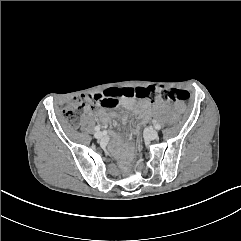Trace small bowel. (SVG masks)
Returning a JSON list of instances; mask_svg holds the SVG:
<instances>
[{
    "mask_svg": "<svg viewBox=\"0 0 241 241\" xmlns=\"http://www.w3.org/2000/svg\"><path fill=\"white\" fill-rule=\"evenodd\" d=\"M118 103H119V100L113 106H102V105H100V106H102V108L97 110L98 117L104 122L107 121L111 117V115L105 110V108L115 107ZM122 103L128 109L136 111V112H140V113H143V114H145L146 110L148 109V107L151 104L150 101L143 100V101L137 102L133 98H124L122 100ZM91 108L92 107L88 108L89 111H91ZM177 108L179 110H182L181 105H178Z\"/></svg>",
    "mask_w": 241,
    "mask_h": 241,
    "instance_id": "small-bowel-1",
    "label": "small bowel"
}]
</instances>
